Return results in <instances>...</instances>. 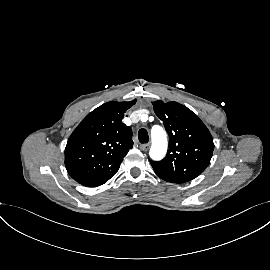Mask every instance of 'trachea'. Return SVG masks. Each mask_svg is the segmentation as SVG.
I'll return each mask as SVG.
<instances>
[{"mask_svg":"<svg viewBox=\"0 0 270 270\" xmlns=\"http://www.w3.org/2000/svg\"><path fill=\"white\" fill-rule=\"evenodd\" d=\"M138 138H139L140 143H143V144L148 143L149 136H148L147 130L146 129H140L138 131Z\"/></svg>","mask_w":270,"mask_h":270,"instance_id":"1","label":"trachea"}]
</instances>
